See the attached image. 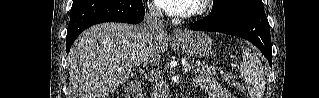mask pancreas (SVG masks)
Masks as SVG:
<instances>
[{"label": "pancreas", "mask_w": 319, "mask_h": 98, "mask_svg": "<svg viewBox=\"0 0 319 98\" xmlns=\"http://www.w3.org/2000/svg\"><path fill=\"white\" fill-rule=\"evenodd\" d=\"M193 72L202 74L205 78H211L215 75L216 69L214 66H208L203 62L196 61L193 65Z\"/></svg>", "instance_id": "obj_1"}]
</instances>
